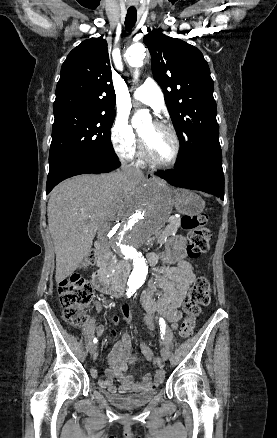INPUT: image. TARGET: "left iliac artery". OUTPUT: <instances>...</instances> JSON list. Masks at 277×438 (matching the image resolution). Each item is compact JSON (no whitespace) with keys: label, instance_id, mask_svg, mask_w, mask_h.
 Segmentation results:
<instances>
[{"label":"left iliac artery","instance_id":"1","mask_svg":"<svg viewBox=\"0 0 277 438\" xmlns=\"http://www.w3.org/2000/svg\"><path fill=\"white\" fill-rule=\"evenodd\" d=\"M159 324H160V329H161V338L164 339L166 323H165L163 318H159Z\"/></svg>","mask_w":277,"mask_h":438}]
</instances>
